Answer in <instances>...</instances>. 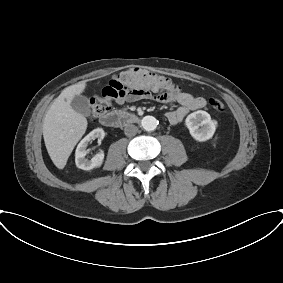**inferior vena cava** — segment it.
I'll return each instance as SVG.
<instances>
[{"mask_svg":"<svg viewBox=\"0 0 283 283\" xmlns=\"http://www.w3.org/2000/svg\"><path fill=\"white\" fill-rule=\"evenodd\" d=\"M137 132H138L137 126H135L133 124L126 125L125 128H124V133L128 137L135 136L137 134Z\"/></svg>","mask_w":283,"mask_h":283,"instance_id":"1","label":"inferior vena cava"}]
</instances>
